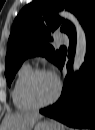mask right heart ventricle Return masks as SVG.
<instances>
[{
    "label": "right heart ventricle",
    "instance_id": "right-heart-ventricle-1",
    "mask_svg": "<svg viewBox=\"0 0 95 130\" xmlns=\"http://www.w3.org/2000/svg\"><path fill=\"white\" fill-rule=\"evenodd\" d=\"M31 70L32 68L29 64H23L17 71L11 90V98L13 105L16 109L23 112L30 111L33 109L27 103H25L21 93L22 84Z\"/></svg>",
    "mask_w": 95,
    "mask_h": 130
}]
</instances>
